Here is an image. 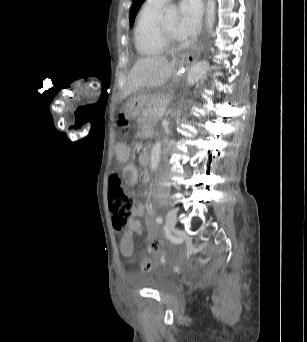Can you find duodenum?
<instances>
[{
    "instance_id": "410a0bca",
    "label": "duodenum",
    "mask_w": 307,
    "mask_h": 342,
    "mask_svg": "<svg viewBox=\"0 0 307 342\" xmlns=\"http://www.w3.org/2000/svg\"><path fill=\"white\" fill-rule=\"evenodd\" d=\"M149 162H150V157L148 154L145 153V155L141 157V165L148 166Z\"/></svg>"
}]
</instances>
